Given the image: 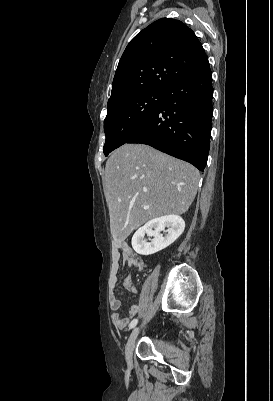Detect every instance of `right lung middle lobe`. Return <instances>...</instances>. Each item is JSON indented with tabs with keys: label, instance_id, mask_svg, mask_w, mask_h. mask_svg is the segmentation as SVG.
Masks as SVG:
<instances>
[{
	"label": "right lung middle lobe",
	"instance_id": "1",
	"mask_svg": "<svg viewBox=\"0 0 273 401\" xmlns=\"http://www.w3.org/2000/svg\"><path fill=\"white\" fill-rule=\"evenodd\" d=\"M163 98V91L148 90L108 104V113L104 120L105 156L125 144L160 105Z\"/></svg>",
	"mask_w": 273,
	"mask_h": 401
}]
</instances>
